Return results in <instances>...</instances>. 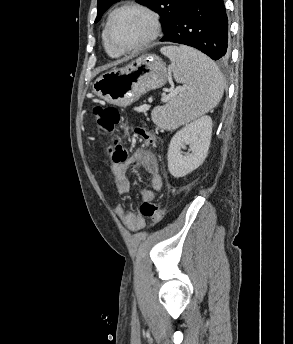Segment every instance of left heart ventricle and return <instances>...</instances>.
Here are the masks:
<instances>
[{"instance_id": "b2bd125f", "label": "left heart ventricle", "mask_w": 293, "mask_h": 344, "mask_svg": "<svg viewBox=\"0 0 293 344\" xmlns=\"http://www.w3.org/2000/svg\"><path fill=\"white\" fill-rule=\"evenodd\" d=\"M149 33L147 17L136 10H125L114 18L110 28L112 43L126 48L141 42Z\"/></svg>"}]
</instances>
